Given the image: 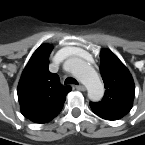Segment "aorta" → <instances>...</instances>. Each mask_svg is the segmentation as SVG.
I'll list each match as a JSON object with an SVG mask.
<instances>
[{
  "mask_svg": "<svg viewBox=\"0 0 145 145\" xmlns=\"http://www.w3.org/2000/svg\"><path fill=\"white\" fill-rule=\"evenodd\" d=\"M70 71L86 86L90 100L100 101L102 99L104 85L90 64L81 59L73 58L70 60Z\"/></svg>",
  "mask_w": 145,
  "mask_h": 145,
  "instance_id": "762f6f07",
  "label": "aorta"
}]
</instances>
